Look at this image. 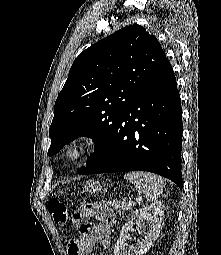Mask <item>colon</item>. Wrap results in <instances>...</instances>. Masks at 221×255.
<instances>
[{
  "instance_id": "5ec220e1",
  "label": "colon",
  "mask_w": 221,
  "mask_h": 255,
  "mask_svg": "<svg viewBox=\"0 0 221 255\" xmlns=\"http://www.w3.org/2000/svg\"><path fill=\"white\" fill-rule=\"evenodd\" d=\"M47 209L52 216L54 222L59 226H64L68 221V211L66 206L57 199H51L47 203ZM92 206L91 204H85L81 206L72 216L73 223L82 228L85 225V221L91 217Z\"/></svg>"
}]
</instances>
